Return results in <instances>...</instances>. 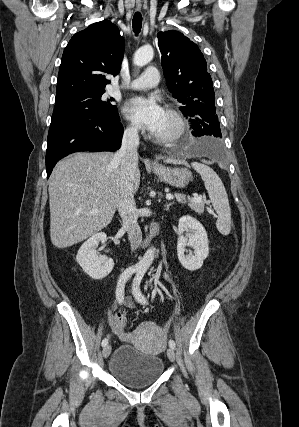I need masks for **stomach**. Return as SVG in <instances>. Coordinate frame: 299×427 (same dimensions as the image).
<instances>
[{
  "label": "stomach",
  "mask_w": 299,
  "mask_h": 427,
  "mask_svg": "<svg viewBox=\"0 0 299 427\" xmlns=\"http://www.w3.org/2000/svg\"><path fill=\"white\" fill-rule=\"evenodd\" d=\"M152 171L161 181L176 188H184L192 180V174L186 168L152 166Z\"/></svg>",
  "instance_id": "1"
}]
</instances>
